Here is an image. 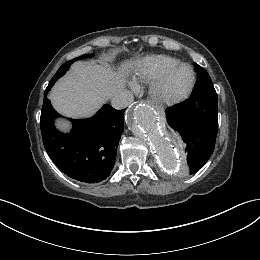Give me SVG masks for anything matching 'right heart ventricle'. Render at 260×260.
<instances>
[{
	"label": "right heart ventricle",
	"instance_id": "1",
	"mask_svg": "<svg viewBox=\"0 0 260 260\" xmlns=\"http://www.w3.org/2000/svg\"><path fill=\"white\" fill-rule=\"evenodd\" d=\"M178 62L177 58L163 54L146 56L134 65L131 77L135 82L151 81Z\"/></svg>",
	"mask_w": 260,
	"mask_h": 260
}]
</instances>
